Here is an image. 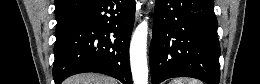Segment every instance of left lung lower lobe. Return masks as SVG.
Wrapping results in <instances>:
<instances>
[{"label": "left lung lower lobe", "mask_w": 260, "mask_h": 84, "mask_svg": "<svg viewBox=\"0 0 260 84\" xmlns=\"http://www.w3.org/2000/svg\"><path fill=\"white\" fill-rule=\"evenodd\" d=\"M219 56L213 0H156L150 47L152 84L173 77L219 84Z\"/></svg>", "instance_id": "left-lung-lower-lobe-1"}]
</instances>
